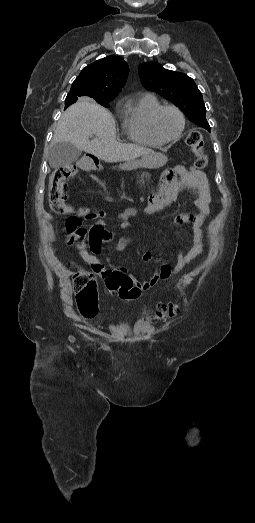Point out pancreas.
<instances>
[{
	"label": "pancreas",
	"instance_id": "1",
	"mask_svg": "<svg viewBox=\"0 0 255 523\" xmlns=\"http://www.w3.org/2000/svg\"><path fill=\"white\" fill-rule=\"evenodd\" d=\"M144 178H149V174H146V172H143L142 176H140V180H138L137 184H144Z\"/></svg>",
	"mask_w": 255,
	"mask_h": 523
}]
</instances>
